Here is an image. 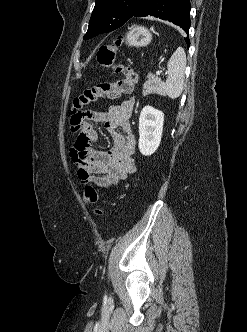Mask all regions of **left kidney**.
I'll return each mask as SVG.
<instances>
[{"label": "left kidney", "instance_id": "1", "mask_svg": "<svg viewBox=\"0 0 247 332\" xmlns=\"http://www.w3.org/2000/svg\"><path fill=\"white\" fill-rule=\"evenodd\" d=\"M162 111L145 106L139 117V150L145 156L152 155L159 147L163 132Z\"/></svg>", "mask_w": 247, "mask_h": 332}]
</instances>
